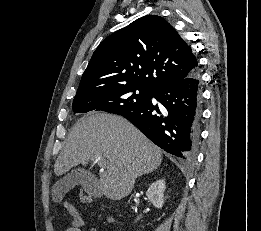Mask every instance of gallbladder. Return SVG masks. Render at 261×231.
<instances>
[{
  "mask_svg": "<svg viewBox=\"0 0 261 231\" xmlns=\"http://www.w3.org/2000/svg\"><path fill=\"white\" fill-rule=\"evenodd\" d=\"M77 185H82L92 196H100L99 182L90 172L83 168H75L62 177L54 186V196L62 197Z\"/></svg>",
  "mask_w": 261,
  "mask_h": 231,
  "instance_id": "1",
  "label": "gallbladder"
}]
</instances>
